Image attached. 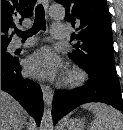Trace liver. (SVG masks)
Listing matches in <instances>:
<instances>
[{
    "instance_id": "1",
    "label": "liver",
    "mask_w": 123,
    "mask_h": 130,
    "mask_svg": "<svg viewBox=\"0 0 123 130\" xmlns=\"http://www.w3.org/2000/svg\"><path fill=\"white\" fill-rule=\"evenodd\" d=\"M27 113L9 94L1 91V130H21Z\"/></svg>"
}]
</instances>
